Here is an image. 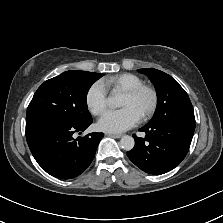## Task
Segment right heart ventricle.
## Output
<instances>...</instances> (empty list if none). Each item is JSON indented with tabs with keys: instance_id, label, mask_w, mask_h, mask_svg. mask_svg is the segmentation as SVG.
I'll use <instances>...</instances> for the list:
<instances>
[{
	"instance_id": "e07e8e85",
	"label": "right heart ventricle",
	"mask_w": 223,
	"mask_h": 223,
	"mask_svg": "<svg viewBox=\"0 0 223 223\" xmlns=\"http://www.w3.org/2000/svg\"><path fill=\"white\" fill-rule=\"evenodd\" d=\"M103 83L107 90H120L123 93L144 84L143 80L139 76L131 73H124L106 78Z\"/></svg>"
}]
</instances>
